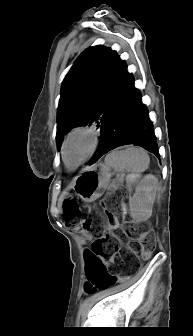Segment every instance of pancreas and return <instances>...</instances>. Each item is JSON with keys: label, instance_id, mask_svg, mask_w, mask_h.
Instances as JSON below:
<instances>
[{"label": "pancreas", "instance_id": "1", "mask_svg": "<svg viewBox=\"0 0 193 336\" xmlns=\"http://www.w3.org/2000/svg\"><path fill=\"white\" fill-rule=\"evenodd\" d=\"M122 180H123V178H122V177H120L119 181H122Z\"/></svg>", "mask_w": 193, "mask_h": 336}]
</instances>
